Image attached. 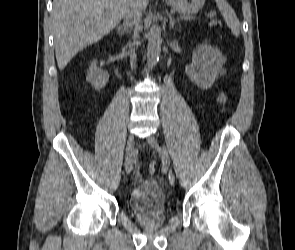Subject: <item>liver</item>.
I'll list each match as a JSON object with an SVG mask.
<instances>
[{
    "instance_id": "liver-1",
    "label": "liver",
    "mask_w": 295,
    "mask_h": 250,
    "mask_svg": "<svg viewBox=\"0 0 295 250\" xmlns=\"http://www.w3.org/2000/svg\"><path fill=\"white\" fill-rule=\"evenodd\" d=\"M128 0H54L52 26L58 68L82 49L109 34L123 17ZM145 10L148 0H139Z\"/></svg>"
}]
</instances>
